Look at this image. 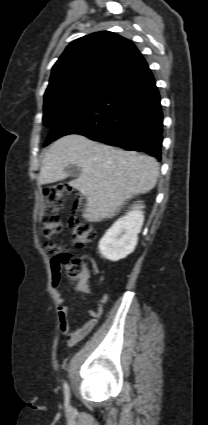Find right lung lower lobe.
I'll return each mask as SVG.
<instances>
[{"instance_id": "obj_1", "label": "right lung lower lobe", "mask_w": 208, "mask_h": 425, "mask_svg": "<svg viewBox=\"0 0 208 425\" xmlns=\"http://www.w3.org/2000/svg\"><path fill=\"white\" fill-rule=\"evenodd\" d=\"M162 126L160 95L142 58L113 80L95 102L56 120L46 143L80 134L160 160Z\"/></svg>"}]
</instances>
